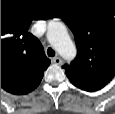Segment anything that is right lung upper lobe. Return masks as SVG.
Returning a JSON list of instances; mask_svg holds the SVG:
<instances>
[{
	"instance_id": "right-lung-upper-lobe-1",
	"label": "right lung upper lobe",
	"mask_w": 115,
	"mask_h": 114,
	"mask_svg": "<svg viewBox=\"0 0 115 114\" xmlns=\"http://www.w3.org/2000/svg\"><path fill=\"white\" fill-rule=\"evenodd\" d=\"M30 21L1 18V87L16 95L34 90L50 65L40 41L28 33Z\"/></svg>"
}]
</instances>
